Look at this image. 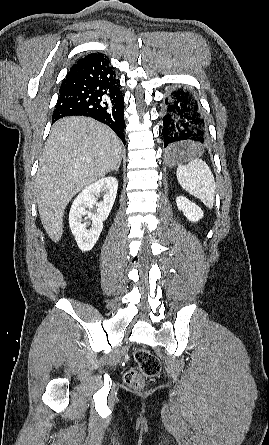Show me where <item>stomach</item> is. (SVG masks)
<instances>
[{"mask_svg":"<svg viewBox=\"0 0 269 445\" xmlns=\"http://www.w3.org/2000/svg\"><path fill=\"white\" fill-rule=\"evenodd\" d=\"M190 158V153L182 150H179L177 152L171 153V154H167V158H166V163L169 166H174L177 164H181V163H185L187 162Z\"/></svg>","mask_w":269,"mask_h":445,"instance_id":"obj_1","label":"stomach"}]
</instances>
